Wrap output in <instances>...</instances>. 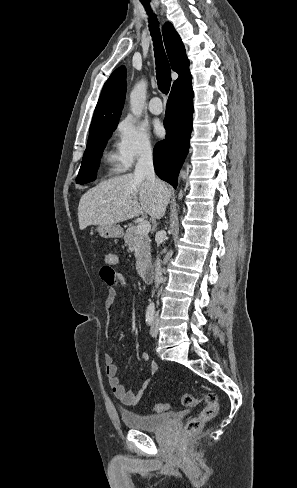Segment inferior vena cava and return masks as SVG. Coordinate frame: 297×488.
Segmentation results:
<instances>
[{"label":"inferior vena cava","mask_w":297,"mask_h":488,"mask_svg":"<svg viewBox=\"0 0 297 488\" xmlns=\"http://www.w3.org/2000/svg\"><path fill=\"white\" fill-rule=\"evenodd\" d=\"M134 175L136 177H145L147 181L151 182L152 184L162 188V182L156 178L154 166H153V155H152V148L150 145H144L140 151L138 161L135 166ZM166 237L164 231L158 233L156 241L157 244H161ZM155 285L156 288L159 287L160 283L163 280L162 277V270H161V263L160 258L157 257L156 264H155ZM158 316V314H156Z\"/></svg>","instance_id":"1"}]
</instances>
